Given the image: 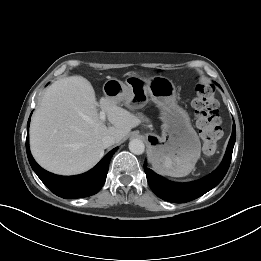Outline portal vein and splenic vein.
Segmentation results:
<instances>
[{"label": "portal vein and splenic vein", "instance_id": "18ae733b", "mask_svg": "<svg viewBox=\"0 0 261 261\" xmlns=\"http://www.w3.org/2000/svg\"><path fill=\"white\" fill-rule=\"evenodd\" d=\"M99 116H100V119H101L102 121H105V119H106V113H105L104 110H101V111H100Z\"/></svg>", "mask_w": 261, "mask_h": 261}]
</instances>
